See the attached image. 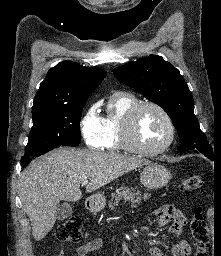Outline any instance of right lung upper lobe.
<instances>
[{
  "mask_svg": "<svg viewBox=\"0 0 221 256\" xmlns=\"http://www.w3.org/2000/svg\"><path fill=\"white\" fill-rule=\"evenodd\" d=\"M106 72L63 61L52 67L34 98L32 111L78 105L101 83Z\"/></svg>",
  "mask_w": 221,
  "mask_h": 256,
  "instance_id": "1",
  "label": "right lung upper lobe"
}]
</instances>
